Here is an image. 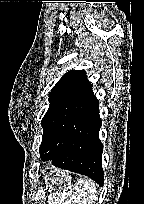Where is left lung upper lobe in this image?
I'll return each mask as SVG.
<instances>
[{"label": "left lung upper lobe", "mask_w": 144, "mask_h": 204, "mask_svg": "<svg viewBox=\"0 0 144 204\" xmlns=\"http://www.w3.org/2000/svg\"><path fill=\"white\" fill-rule=\"evenodd\" d=\"M91 86L84 70H71L51 89L50 106L42 119L44 132L40 145L41 157L64 139L71 119L81 107Z\"/></svg>", "instance_id": "5c2ea615"}]
</instances>
